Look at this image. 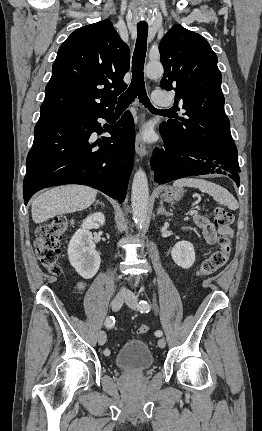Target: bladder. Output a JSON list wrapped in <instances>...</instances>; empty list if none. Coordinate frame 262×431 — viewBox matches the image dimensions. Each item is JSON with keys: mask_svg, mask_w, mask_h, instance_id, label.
<instances>
[{"mask_svg": "<svg viewBox=\"0 0 262 431\" xmlns=\"http://www.w3.org/2000/svg\"><path fill=\"white\" fill-rule=\"evenodd\" d=\"M154 358L143 340H130L123 344L115 356L116 364L127 372H142L149 369Z\"/></svg>", "mask_w": 262, "mask_h": 431, "instance_id": "obj_1", "label": "bladder"}]
</instances>
